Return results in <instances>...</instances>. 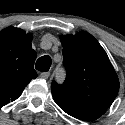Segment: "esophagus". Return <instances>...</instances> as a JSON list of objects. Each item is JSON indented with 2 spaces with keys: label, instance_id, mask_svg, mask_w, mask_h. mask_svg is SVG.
Segmentation results:
<instances>
[{
  "label": "esophagus",
  "instance_id": "1",
  "mask_svg": "<svg viewBox=\"0 0 125 125\" xmlns=\"http://www.w3.org/2000/svg\"><path fill=\"white\" fill-rule=\"evenodd\" d=\"M50 76V73L49 72H42L40 74V77L43 78V79H48Z\"/></svg>",
  "mask_w": 125,
  "mask_h": 125
}]
</instances>
